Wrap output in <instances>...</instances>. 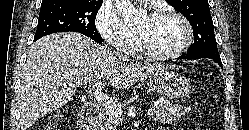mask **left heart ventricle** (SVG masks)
I'll return each instance as SVG.
<instances>
[{"instance_id":"obj_1","label":"left heart ventricle","mask_w":249,"mask_h":130,"mask_svg":"<svg viewBox=\"0 0 249 130\" xmlns=\"http://www.w3.org/2000/svg\"><path fill=\"white\" fill-rule=\"evenodd\" d=\"M137 28L147 47L156 53L172 51L181 43L185 34L180 21L161 15L142 19Z\"/></svg>"}]
</instances>
